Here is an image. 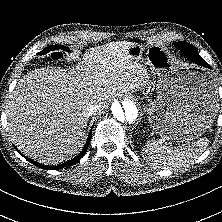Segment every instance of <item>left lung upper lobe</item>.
<instances>
[{"mask_svg":"<svg viewBox=\"0 0 222 222\" xmlns=\"http://www.w3.org/2000/svg\"><path fill=\"white\" fill-rule=\"evenodd\" d=\"M174 46L182 52L183 56H194L196 59L200 60L201 62H206L199 54L197 49L187 42H175Z\"/></svg>","mask_w":222,"mask_h":222,"instance_id":"obj_1","label":"left lung upper lobe"}]
</instances>
